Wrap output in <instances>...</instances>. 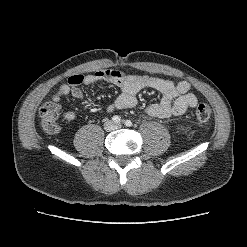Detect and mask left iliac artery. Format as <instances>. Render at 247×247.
Masks as SVG:
<instances>
[{"mask_svg": "<svg viewBox=\"0 0 247 247\" xmlns=\"http://www.w3.org/2000/svg\"><path fill=\"white\" fill-rule=\"evenodd\" d=\"M125 125H126L127 127H131V126H132V122H131L130 120H126V121H125Z\"/></svg>", "mask_w": 247, "mask_h": 247, "instance_id": "1", "label": "left iliac artery"}]
</instances>
